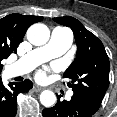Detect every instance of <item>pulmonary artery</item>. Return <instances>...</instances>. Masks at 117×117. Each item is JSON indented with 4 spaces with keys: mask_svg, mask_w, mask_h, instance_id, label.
Segmentation results:
<instances>
[{
    "mask_svg": "<svg viewBox=\"0 0 117 117\" xmlns=\"http://www.w3.org/2000/svg\"><path fill=\"white\" fill-rule=\"evenodd\" d=\"M71 43L72 32L67 28L55 27L46 45L36 48L20 58L7 68V72L11 77L26 74L41 63L65 53ZM72 95V92H68L67 98H71Z\"/></svg>",
    "mask_w": 117,
    "mask_h": 117,
    "instance_id": "pulmonary-artery-1",
    "label": "pulmonary artery"
}]
</instances>
